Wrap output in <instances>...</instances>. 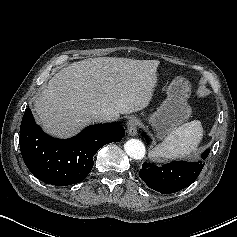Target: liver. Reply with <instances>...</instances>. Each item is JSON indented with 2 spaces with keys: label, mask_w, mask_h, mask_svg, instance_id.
<instances>
[{
  "label": "liver",
  "mask_w": 237,
  "mask_h": 237,
  "mask_svg": "<svg viewBox=\"0 0 237 237\" xmlns=\"http://www.w3.org/2000/svg\"><path fill=\"white\" fill-rule=\"evenodd\" d=\"M156 60L98 57L74 62L48 82L34 102L44 130L68 137L94 122L95 112L130 114L146 108L157 84Z\"/></svg>",
  "instance_id": "obj_1"
}]
</instances>
